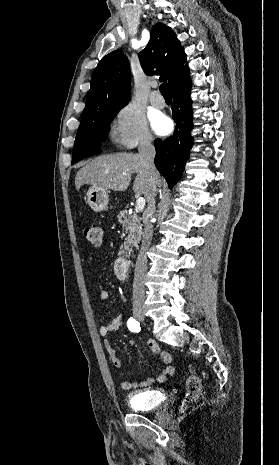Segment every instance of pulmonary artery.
<instances>
[{
	"label": "pulmonary artery",
	"mask_w": 279,
	"mask_h": 465,
	"mask_svg": "<svg viewBox=\"0 0 279 465\" xmlns=\"http://www.w3.org/2000/svg\"><path fill=\"white\" fill-rule=\"evenodd\" d=\"M150 103L155 108H163L165 106L164 98L157 92L152 91L150 94Z\"/></svg>",
	"instance_id": "obj_1"
}]
</instances>
